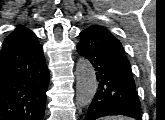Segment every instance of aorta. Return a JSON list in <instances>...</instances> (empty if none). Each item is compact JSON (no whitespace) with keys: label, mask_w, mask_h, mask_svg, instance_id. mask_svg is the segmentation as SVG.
<instances>
[{"label":"aorta","mask_w":165,"mask_h":120,"mask_svg":"<svg viewBox=\"0 0 165 120\" xmlns=\"http://www.w3.org/2000/svg\"><path fill=\"white\" fill-rule=\"evenodd\" d=\"M97 81L92 64L79 58L76 64V102L80 106L89 105L96 93Z\"/></svg>","instance_id":"obj_1"}]
</instances>
